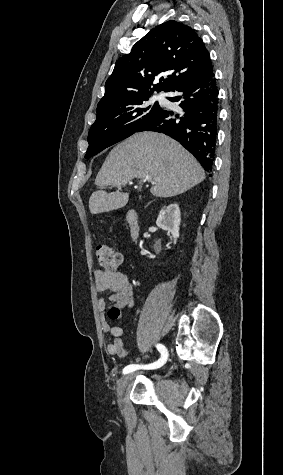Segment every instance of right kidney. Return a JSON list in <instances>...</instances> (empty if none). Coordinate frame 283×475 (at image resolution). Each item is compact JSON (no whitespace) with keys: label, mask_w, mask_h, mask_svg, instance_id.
I'll return each mask as SVG.
<instances>
[{"label":"right kidney","mask_w":283,"mask_h":475,"mask_svg":"<svg viewBox=\"0 0 283 475\" xmlns=\"http://www.w3.org/2000/svg\"><path fill=\"white\" fill-rule=\"evenodd\" d=\"M180 222V208L178 204H170V206L162 208L156 220L158 228H162V230H166V232L172 234L174 243H176V239L179 238Z\"/></svg>","instance_id":"ca27d5eb"}]
</instances>
